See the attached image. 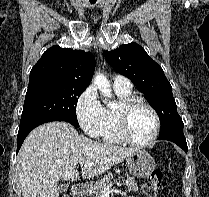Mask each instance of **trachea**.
<instances>
[{
	"label": "trachea",
	"mask_w": 209,
	"mask_h": 197,
	"mask_svg": "<svg viewBox=\"0 0 209 197\" xmlns=\"http://www.w3.org/2000/svg\"><path fill=\"white\" fill-rule=\"evenodd\" d=\"M90 2H91L92 4H94V3H96V0H90Z\"/></svg>",
	"instance_id": "obj_1"
}]
</instances>
